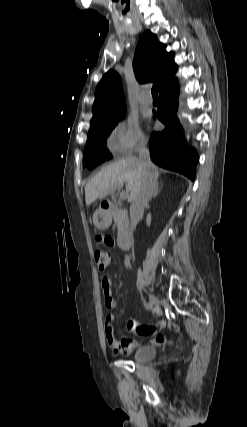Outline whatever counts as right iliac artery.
I'll return each mask as SVG.
<instances>
[{
	"label": "right iliac artery",
	"instance_id": "obj_1",
	"mask_svg": "<svg viewBox=\"0 0 247 427\" xmlns=\"http://www.w3.org/2000/svg\"><path fill=\"white\" fill-rule=\"evenodd\" d=\"M146 309H151L152 308V304L151 303H147L145 304Z\"/></svg>",
	"mask_w": 247,
	"mask_h": 427
}]
</instances>
